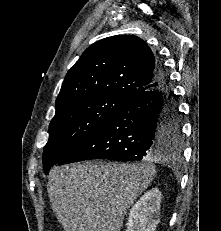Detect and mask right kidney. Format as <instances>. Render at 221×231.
Returning <instances> with one entry per match:
<instances>
[{
  "mask_svg": "<svg viewBox=\"0 0 221 231\" xmlns=\"http://www.w3.org/2000/svg\"><path fill=\"white\" fill-rule=\"evenodd\" d=\"M161 198L158 188L144 193L130 210L126 231H155L160 221Z\"/></svg>",
  "mask_w": 221,
  "mask_h": 231,
  "instance_id": "right-kidney-1",
  "label": "right kidney"
}]
</instances>
